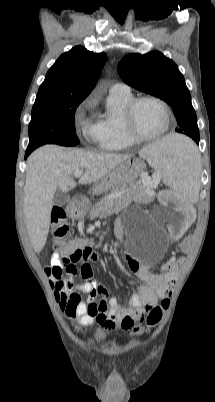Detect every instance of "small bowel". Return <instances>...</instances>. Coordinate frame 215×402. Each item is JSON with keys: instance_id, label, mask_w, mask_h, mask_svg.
<instances>
[{"instance_id": "1", "label": "small bowel", "mask_w": 215, "mask_h": 402, "mask_svg": "<svg viewBox=\"0 0 215 402\" xmlns=\"http://www.w3.org/2000/svg\"><path fill=\"white\" fill-rule=\"evenodd\" d=\"M115 233L118 238H122L120 221L115 224ZM80 251L83 256L78 263H81L83 283L76 281L78 268L70 272H55L54 265L61 257L58 254L52 256L51 265L45 268V273L52 280L61 300L63 314L73 323H77L83 332L94 323H100L108 330L115 327L130 329L136 321L143 319L145 313L150 311L159 299L166 297L172 290L174 273L165 271L163 274H152L131 261L130 269L143 284L132 295L128 304L122 306L115 298H109L105 287L93 276L90 263L98 260V253L87 242Z\"/></svg>"}]
</instances>
